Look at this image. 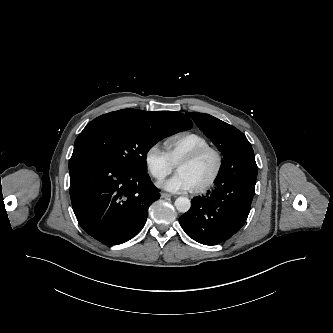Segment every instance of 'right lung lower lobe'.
I'll return each instance as SVG.
<instances>
[{
	"label": "right lung lower lobe",
	"mask_w": 333,
	"mask_h": 333,
	"mask_svg": "<svg viewBox=\"0 0 333 333\" xmlns=\"http://www.w3.org/2000/svg\"><path fill=\"white\" fill-rule=\"evenodd\" d=\"M69 172L75 216L85 232L105 244L138 234L149 206L160 197L147 173L130 172L91 150H74Z\"/></svg>",
	"instance_id": "obj_1"
}]
</instances>
